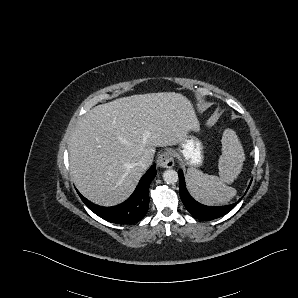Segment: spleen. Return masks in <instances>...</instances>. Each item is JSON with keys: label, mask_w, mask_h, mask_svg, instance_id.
Returning a JSON list of instances; mask_svg holds the SVG:
<instances>
[{"label": "spleen", "mask_w": 298, "mask_h": 298, "mask_svg": "<svg viewBox=\"0 0 298 298\" xmlns=\"http://www.w3.org/2000/svg\"><path fill=\"white\" fill-rule=\"evenodd\" d=\"M221 143L219 176L205 174L194 167L187 169L186 181L191 195L206 205L226 204L236 195V189L228 184L241 173L245 161L244 149L234 130L225 129Z\"/></svg>", "instance_id": "3e777b00"}]
</instances>
